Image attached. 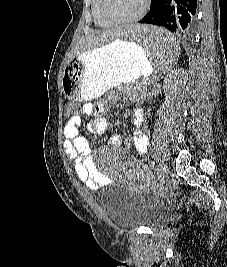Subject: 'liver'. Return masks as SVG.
<instances>
[{"label": "liver", "mask_w": 227, "mask_h": 267, "mask_svg": "<svg viewBox=\"0 0 227 267\" xmlns=\"http://www.w3.org/2000/svg\"><path fill=\"white\" fill-rule=\"evenodd\" d=\"M122 33H127V30H118V27H116L112 29L93 31L89 36L85 37L76 45V47L72 50L69 61L83 52L102 47L105 44L120 38Z\"/></svg>", "instance_id": "6515ba94"}]
</instances>
